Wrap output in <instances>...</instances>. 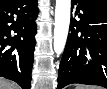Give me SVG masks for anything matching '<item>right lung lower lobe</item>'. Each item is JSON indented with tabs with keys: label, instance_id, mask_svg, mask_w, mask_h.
<instances>
[{
	"label": "right lung lower lobe",
	"instance_id": "right-lung-lower-lobe-1",
	"mask_svg": "<svg viewBox=\"0 0 107 89\" xmlns=\"http://www.w3.org/2000/svg\"><path fill=\"white\" fill-rule=\"evenodd\" d=\"M37 14V0L0 1V76L23 89L31 86Z\"/></svg>",
	"mask_w": 107,
	"mask_h": 89
}]
</instances>
